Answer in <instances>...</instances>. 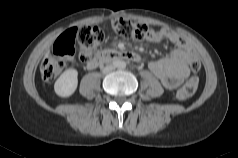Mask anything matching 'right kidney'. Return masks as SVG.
<instances>
[{
	"label": "right kidney",
	"mask_w": 238,
	"mask_h": 158,
	"mask_svg": "<svg viewBox=\"0 0 238 158\" xmlns=\"http://www.w3.org/2000/svg\"><path fill=\"white\" fill-rule=\"evenodd\" d=\"M78 72L76 69L65 70L54 84L55 93L63 98L70 97L78 85Z\"/></svg>",
	"instance_id": "right-kidney-1"
}]
</instances>
